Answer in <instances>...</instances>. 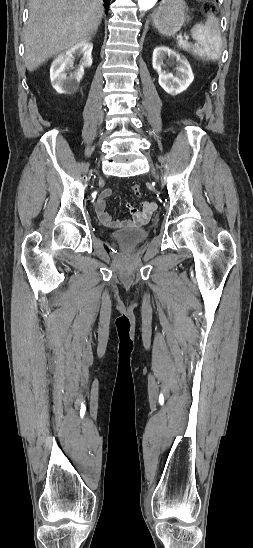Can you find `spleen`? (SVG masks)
<instances>
[{
	"label": "spleen",
	"mask_w": 253,
	"mask_h": 548,
	"mask_svg": "<svg viewBox=\"0 0 253 548\" xmlns=\"http://www.w3.org/2000/svg\"><path fill=\"white\" fill-rule=\"evenodd\" d=\"M192 37L197 44L192 45L178 40V46L186 51H192L202 59L216 61L222 54V40L217 18L209 13L206 22L196 24L192 29ZM201 47H197V45Z\"/></svg>",
	"instance_id": "spleen-1"
}]
</instances>
